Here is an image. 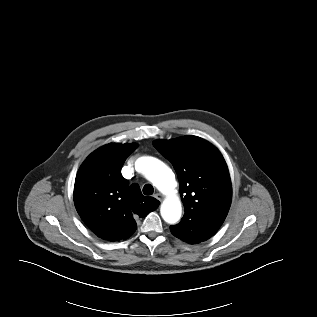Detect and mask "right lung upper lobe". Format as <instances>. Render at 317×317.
I'll list each match as a JSON object with an SVG mask.
<instances>
[{"label":"right lung upper lobe","mask_w":317,"mask_h":317,"mask_svg":"<svg viewBox=\"0 0 317 317\" xmlns=\"http://www.w3.org/2000/svg\"><path fill=\"white\" fill-rule=\"evenodd\" d=\"M137 144L111 143L91 153L81 165L74 186V203L84 223L108 241L127 239L136 230V219L159 206L142 195L138 184L129 187L121 174Z\"/></svg>","instance_id":"1"}]
</instances>
